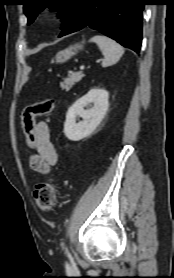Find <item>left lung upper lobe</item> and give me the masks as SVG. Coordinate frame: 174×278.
Returning <instances> with one entry per match:
<instances>
[{"label":"left lung upper lobe","mask_w":174,"mask_h":278,"mask_svg":"<svg viewBox=\"0 0 174 278\" xmlns=\"http://www.w3.org/2000/svg\"><path fill=\"white\" fill-rule=\"evenodd\" d=\"M82 0H26L24 3V13L28 18V25L31 24L37 15L45 8H65L64 13H58L62 19V29L74 18Z\"/></svg>","instance_id":"5c2ea615"}]
</instances>
